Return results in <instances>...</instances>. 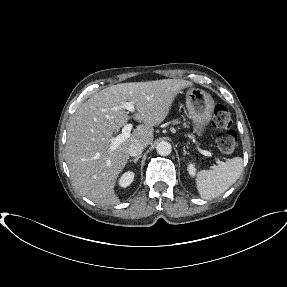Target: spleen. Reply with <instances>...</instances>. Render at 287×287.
<instances>
[{"label": "spleen", "mask_w": 287, "mask_h": 287, "mask_svg": "<svg viewBox=\"0 0 287 287\" xmlns=\"http://www.w3.org/2000/svg\"><path fill=\"white\" fill-rule=\"evenodd\" d=\"M242 171L241 157L228 159L211 170L199 171L196 186L201 198L210 200L219 197L239 179Z\"/></svg>", "instance_id": "obj_1"}]
</instances>
